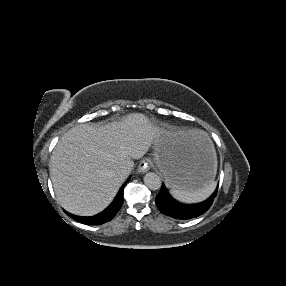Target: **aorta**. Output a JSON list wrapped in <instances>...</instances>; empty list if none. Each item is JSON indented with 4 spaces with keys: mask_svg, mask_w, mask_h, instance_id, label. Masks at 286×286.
Here are the masks:
<instances>
[{
    "mask_svg": "<svg viewBox=\"0 0 286 286\" xmlns=\"http://www.w3.org/2000/svg\"><path fill=\"white\" fill-rule=\"evenodd\" d=\"M144 183L151 190L161 188V178L154 172H149L144 176Z\"/></svg>",
    "mask_w": 286,
    "mask_h": 286,
    "instance_id": "obj_1",
    "label": "aorta"
}]
</instances>
